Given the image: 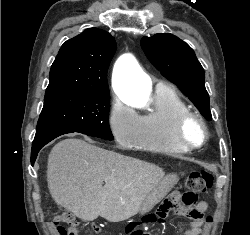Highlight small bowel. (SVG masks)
<instances>
[{"label":"small bowel","mask_w":250,"mask_h":235,"mask_svg":"<svg viewBox=\"0 0 250 235\" xmlns=\"http://www.w3.org/2000/svg\"><path fill=\"white\" fill-rule=\"evenodd\" d=\"M172 209V203L170 201H165L162 206L160 207L159 211V221L158 222H163L164 218L168 214V212ZM207 210V204L205 202H199L195 207L188 209V208H183L177 210V212L181 215H190L191 211H196L199 216L196 218H193L192 222L184 226L182 229L183 235H201L203 232V227L206 224V221L204 220L203 216L204 213ZM97 231H99L97 229ZM127 235H140L141 231L137 228L131 227Z\"/></svg>","instance_id":"c3829d8e"}]
</instances>
